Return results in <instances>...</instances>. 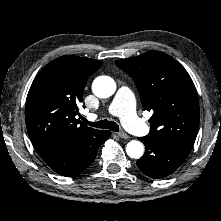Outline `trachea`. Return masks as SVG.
I'll return each instance as SVG.
<instances>
[{
	"instance_id": "3493384b",
	"label": "trachea",
	"mask_w": 221,
	"mask_h": 221,
	"mask_svg": "<svg viewBox=\"0 0 221 221\" xmlns=\"http://www.w3.org/2000/svg\"><path fill=\"white\" fill-rule=\"evenodd\" d=\"M83 122L89 126L95 127V128H102V129H110L114 132L119 131V126L114 121H108V120H100L98 122H89L86 119H83Z\"/></svg>"
}]
</instances>
